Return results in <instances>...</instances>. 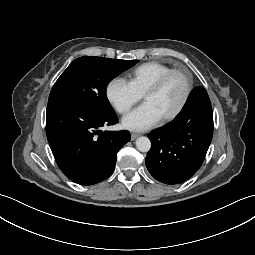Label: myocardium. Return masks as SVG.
Listing matches in <instances>:
<instances>
[{"mask_svg": "<svg viewBox=\"0 0 255 255\" xmlns=\"http://www.w3.org/2000/svg\"><path fill=\"white\" fill-rule=\"evenodd\" d=\"M173 74H181L184 77L186 84L185 93L178 107L170 114L162 117L163 121L173 120L184 109L192 90V81L190 75L183 69H171L168 72L162 74L143 94V98L145 99V97H147L148 95L158 92L162 88L164 83L167 81V79Z\"/></svg>", "mask_w": 255, "mask_h": 255, "instance_id": "f54148a6", "label": "myocardium"}]
</instances>
